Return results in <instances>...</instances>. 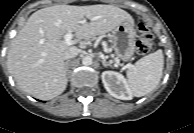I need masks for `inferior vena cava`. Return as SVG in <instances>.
Masks as SVG:
<instances>
[{
	"label": "inferior vena cava",
	"instance_id": "inferior-vena-cava-1",
	"mask_svg": "<svg viewBox=\"0 0 194 133\" xmlns=\"http://www.w3.org/2000/svg\"><path fill=\"white\" fill-rule=\"evenodd\" d=\"M80 52V50L76 47H71L69 48L65 53H64V59L68 60L71 58H74L78 55V53Z\"/></svg>",
	"mask_w": 194,
	"mask_h": 133
}]
</instances>
